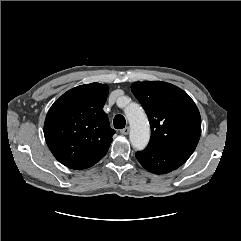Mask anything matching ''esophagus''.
Listing matches in <instances>:
<instances>
[{"mask_svg": "<svg viewBox=\"0 0 241 241\" xmlns=\"http://www.w3.org/2000/svg\"><path fill=\"white\" fill-rule=\"evenodd\" d=\"M129 130H130L129 127H125L123 129H121L120 133L122 135H128L129 134Z\"/></svg>", "mask_w": 241, "mask_h": 241, "instance_id": "esophagus-1", "label": "esophagus"}]
</instances>
